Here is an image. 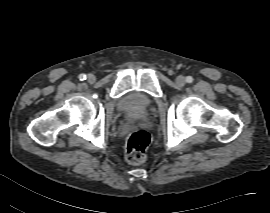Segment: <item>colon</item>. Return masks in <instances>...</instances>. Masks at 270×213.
I'll use <instances>...</instances> for the list:
<instances>
[{"mask_svg": "<svg viewBox=\"0 0 270 213\" xmlns=\"http://www.w3.org/2000/svg\"><path fill=\"white\" fill-rule=\"evenodd\" d=\"M150 143V135L145 130H137L130 133L125 143V159L129 164H139L146 156Z\"/></svg>", "mask_w": 270, "mask_h": 213, "instance_id": "1", "label": "colon"}]
</instances>
